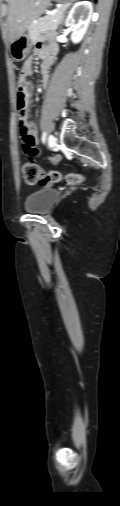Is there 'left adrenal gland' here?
<instances>
[{"mask_svg":"<svg viewBox=\"0 0 120 506\" xmlns=\"http://www.w3.org/2000/svg\"><path fill=\"white\" fill-rule=\"evenodd\" d=\"M63 17H64V15H63ZM63 17H62V19H61V22H63Z\"/></svg>","mask_w":120,"mask_h":506,"instance_id":"left-adrenal-gland-1","label":"left adrenal gland"}]
</instances>
